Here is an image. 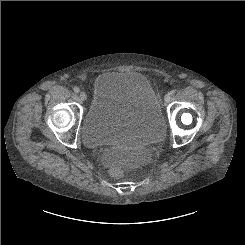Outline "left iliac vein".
<instances>
[{
	"instance_id": "4c4485c4",
	"label": "left iliac vein",
	"mask_w": 245,
	"mask_h": 245,
	"mask_svg": "<svg viewBox=\"0 0 245 245\" xmlns=\"http://www.w3.org/2000/svg\"><path fill=\"white\" fill-rule=\"evenodd\" d=\"M170 100H171V95L170 94H166L165 97H164L165 103H169Z\"/></svg>"
}]
</instances>
